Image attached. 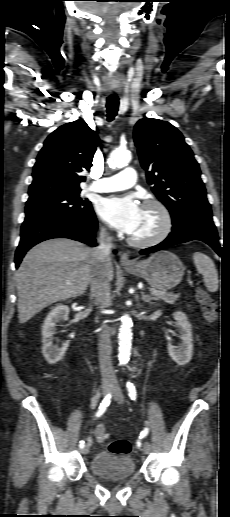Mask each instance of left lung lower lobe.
I'll return each mask as SVG.
<instances>
[{
	"label": "left lung lower lobe",
	"mask_w": 230,
	"mask_h": 517,
	"mask_svg": "<svg viewBox=\"0 0 230 517\" xmlns=\"http://www.w3.org/2000/svg\"><path fill=\"white\" fill-rule=\"evenodd\" d=\"M191 240H201L210 245L216 251L217 254H219L220 256L223 255V248L220 247L217 230L212 218L188 224V227H186L185 229H181L178 231L172 230V232L165 241L156 246L142 249L140 251V254L144 255L148 253H153L164 248L180 243H185Z\"/></svg>",
	"instance_id": "left-lung-lower-lobe-1"
}]
</instances>
